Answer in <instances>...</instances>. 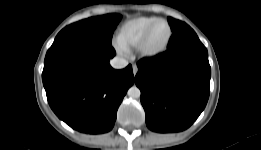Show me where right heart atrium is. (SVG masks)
Masks as SVG:
<instances>
[{
	"label": "right heart atrium",
	"instance_id": "1",
	"mask_svg": "<svg viewBox=\"0 0 261 150\" xmlns=\"http://www.w3.org/2000/svg\"><path fill=\"white\" fill-rule=\"evenodd\" d=\"M118 49H119L121 52L125 51V50H123V49H122L121 47H119V46H118Z\"/></svg>",
	"mask_w": 261,
	"mask_h": 150
}]
</instances>
